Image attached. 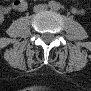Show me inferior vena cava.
I'll list each match as a JSON object with an SVG mask.
<instances>
[{
    "mask_svg": "<svg viewBox=\"0 0 91 91\" xmlns=\"http://www.w3.org/2000/svg\"><path fill=\"white\" fill-rule=\"evenodd\" d=\"M48 6L46 4H40V5H36L34 6V12H42L47 10Z\"/></svg>",
    "mask_w": 91,
    "mask_h": 91,
    "instance_id": "1",
    "label": "inferior vena cava"
}]
</instances>
